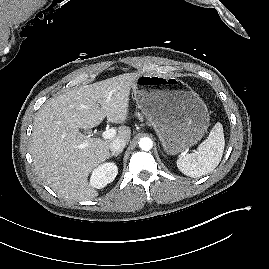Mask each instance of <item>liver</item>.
<instances>
[{
    "instance_id": "liver-1",
    "label": "liver",
    "mask_w": 269,
    "mask_h": 269,
    "mask_svg": "<svg viewBox=\"0 0 269 269\" xmlns=\"http://www.w3.org/2000/svg\"><path fill=\"white\" fill-rule=\"evenodd\" d=\"M142 73H126L81 86L50 98L33 123L31 155L38 176L60 197L90 200L98 192L88 183L89 173L110 157L109 144L129 141L131 129L120 126L110 140L89 138L79 129L108 122L125 123L130 89Z\"/></svg>"
}]
</instances>
